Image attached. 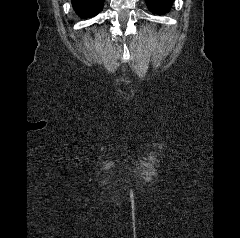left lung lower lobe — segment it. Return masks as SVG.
Listing matches in <instances>:
<instances>
[{
    "label": "left lung lower lobe",
    "mask_w": 240,
    "mask_h": 238,
    "mask_svg": "<svg viewBox=\"0 0 240 238\" xmlns=\"http://www.w3.org/2000/svg\"><path fill=\"white\" fill-rule=\"evenodd\" d=\"M149 10L154 14H165L174 0H145Z\"/></svg>",
    "instance_id": "left-lung-lower-lobe-1"
}]
</instances>
